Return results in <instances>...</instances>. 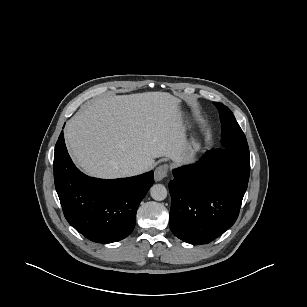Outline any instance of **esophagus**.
Masks as SVG:
<instances>
[{
    "instance_id": "obj_1",
    "label": "esophagus",
    "mask_w": 307,
    "mask_h": 307,
    "mask_svg": "<svg viewBox=\"0 0 307 307\" xmlns=\"http://www.w3.org/2000/svg\"><path fill=\"white\" fill-rule=\"evenodd\" d=\"M168 174V165L163 164L154 171V179L156 182L163 180Z\"/></svg>"
}]
</instances>
